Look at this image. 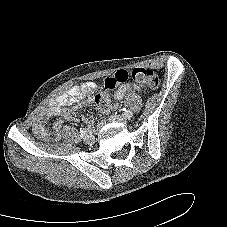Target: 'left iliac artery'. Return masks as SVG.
Masks as SVG:
<instances>
[{
    "label": "left iliac artery",
    "mask_w": 227,
    "mask_h": 227,
    "mask_svg": "<svg viewBox=\"0 0 227 227\" xmlns=\"http://www.w3.org/2000/svg\"><path fill=\"white\" fill-rule=\"evenodd\" d=\"M123 111H124V115H125V116L133 115L132 111L127 110L126 108H123Z\"/></svg>",
    "instance_id": "left-iliac-artery-1"
}]
</instances>
